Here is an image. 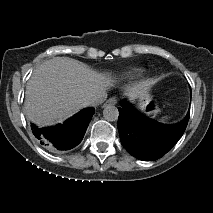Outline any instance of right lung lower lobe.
<instances>
[{
  "mask_svg": "<svg viewBox=\"0 0 213 213\" xmlns=\"http://www.w3.org/2000/svg\"><path fill=\"white\" fill-rule=\"evenodd\" d=\"M95 112L94 108H86L65 121L62 125L49 128H38L31 125L33 134L42 144L58 150H68L78 145L86 132Z\"/></svg>",
  "mask_w": 213,
  "mask_h": 213,
  "instance_id": "98d812e1",
  "label": "right lung lower lobe"
}]
</instances>
